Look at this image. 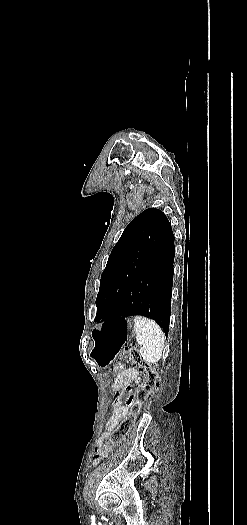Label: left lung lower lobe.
<instances>
[{"label": "left lung lower lobe", "mask_w": 247, "mask_h": 525, "mask_svg": "<svg viewBox=\"0 0 247 525\" xmlns=\"http://www.w3.org/2000/svg\"><path fill=\"white\" fill-rule=\"evenodd\" d=\"M174 256V234L170 225L149 257L146 268L102 321H121L127 316L142 315L159 323L167 336Z\"/></svg>", "instance_id": "0a47b994"}]
</instances>
